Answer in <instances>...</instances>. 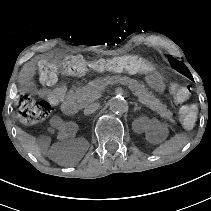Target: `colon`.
Returning <instances> with one entry per match:
<instances>
[{"label":"colon","instance_id":"colon-1","mask_svg":"<svg viewBox=\"0 0 211 211\" xmlns=\"http://www.w3.org/2000/svg\"><path fill=\"white\" fill-rule=\"evenodd\" d=\"M88 71L148 74L156 71V65L150 59L136 54L92 61L79 56H70L61 60H48L41 64L39 77L42 84L53 85L61 75H82ZM172 93L178 103H185L190 98V89L186 86L174 85ZM50 112L51 105L45 99H35L29 95H22L18 99L17 117L25 126L35 125L46 119ZM179 118L186 128H192L197 121L196 106H183L179 111Z\"/></svg>","mask_w":211,"mask_h":211}]
</instances>
